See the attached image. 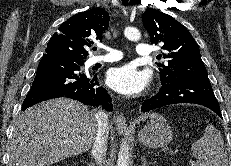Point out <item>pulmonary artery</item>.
<instances>
[{"mask_svg": "<svg viewBox=\"0 0 231 166\" xmlns=\"http://www.w3.org/2000/svg\"><path fill=\"white\" fill-rule=\"evenodd\" d=\"M105 51L107 54L94 56L90 60V64L95 63H109L118 61L122 58V53L110 46H104ZM136 53L141 57H149L153 53V48L149 44L139 43L136 46Z\"/></svg>", "mask_w": 231, "mask_h": 166, "instance_id": "pulmonary-artery-1", "label": "pulmonary artery"}]
</instances>
